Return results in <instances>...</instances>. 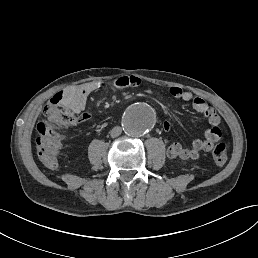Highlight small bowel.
Segmentation results:
<instances>
[{
	"label": "small bowel",
	"instance_id": "1",
	"mask_svg": "<svg viewBox=\"0 0 258 258\" xmlns=\"http://www.w3.org/2000/svg\"><path fill=\"white\" fill-rule=\"evenodd\" d=\"M142 84V80L136 76H120L111 82V86L117 89L139 87ZM101 87L102 84L100 82H90L79 87H70L55 95L51 99V103L57 107L71 110L74 113H81L85 109L88 96ZM169 92L175 98L191 102L193 109L207 118L210 127L205 131L203 138L194 140L190 147H184L180 143L174 142L167 147L166 154L171 159H197L202 151L209 152L214 143L220 140L222 136L220 117L215 109L208 105L203 98L195 97L189 91L173 86L169 89ZM84 115L86 120H88L89 115L87 113H84ZM163 128L169 130L170 122L164 121ZM41 162L51 170L57 167V163L50 164L42 160Z\"/></svg>",
	"mask_w": 258,
	"mask_h": 258
}]
</instances>
